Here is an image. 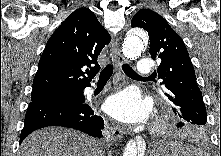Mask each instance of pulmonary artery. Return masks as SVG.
<instances>
[{
    "instance_id": "e3ab8cb5",
    "label": "pulmonary artery",
    "mask_w": 221,
    "mask_h": 156,
    "mask_svg": "<svg viewBox=\"0 0 221 156\" xmlns=\"http://www.w3.org/2000/svg\"><path fill=\"white\" fill-rule=\"evenodd\" d=\"M152 63L149 59L143 58L138 62L137 71L141 76H146L152 72Z\"/></svg>"
}]
</instances>
